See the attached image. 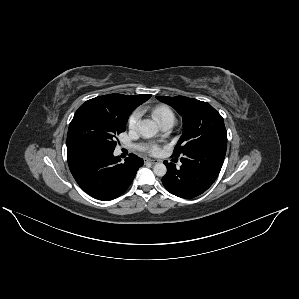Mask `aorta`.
<instances>
[{
  "label": "aorta",
  "mask_w": 299,
  "mask_h": 299,
  "mask_svg": "<svg viewBox=\"0 0 299 299\" xmlns=\"http://www.w3.org/2000/svg\"><path fill=\"white\" fill-rule=\"evenodd\" d=\"M138 130L143 137L150 138L158 133V125L150 119H144L140 122ZM153 172L155 175L163 177L167 172V168L163 163H156Z\"/></svg>",
  "instance_id": "aorta-1"
}]
</instances>
